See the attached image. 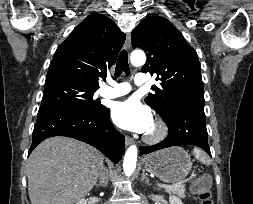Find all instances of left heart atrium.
<instances>
[{
  "instance_id": "obj_1",
  "label": "left heart atrium",
  "mask_w": 253,
  "mask_h": 204,
  "mask_svg": "<svg viewBox=\"0 0 253 204\" xmlns=\"http://www.w3.org/2000/svg\"><path fill=\"white\" fill-rule=\"evenodd\" d=\"M111 117L120 128L138 133L147 132L153 124L151 111L135 98L117 102Z\"/></svg>"
}]
</instances>
